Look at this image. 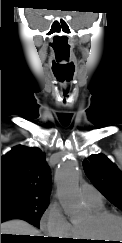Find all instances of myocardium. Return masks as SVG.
<instances>
[{
	"mask_svg": "<svg viewBox=\"0 0 122 243\" xmlns=\"http://www.w3.org/2000/svg\"><path fill=\"white\" fill-rule=\"evenodd\" d=\"M109 218H116L122 221V215L115 212L102 211L98 213H92V224L84 228L80 227L83 237L87 240H97V238H100L99 236H97L96 231L98 227Z\"/></svg>",
	"mask_w": 122,
	"mask_h": 243,
	"instance_id": "obj_1",
	"label": "myocardium"
}]
</instances>
